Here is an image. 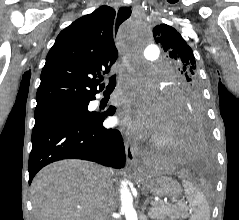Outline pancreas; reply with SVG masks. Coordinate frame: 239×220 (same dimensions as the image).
I'll list each match as a JSON object with an SVG mask.
<instances>
[{"label":"pancreas","mask_w":239,"mask_h":220,"mask_svg":"<svg viewBox=\"0 0 239 220\" xmlns=\"http://www.w3.org/2000/svg\"><path fill=\"white\" fill-rule=\"evenodd\" d=\"M148 217L153 220H176L188 217V208L183 205H167L163 202H154L148 212Z\"/></svg>","instance_id":"cf45deb5"}]
</instances>
